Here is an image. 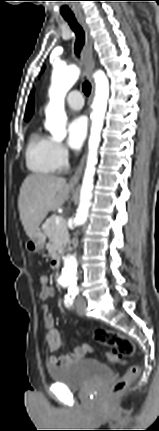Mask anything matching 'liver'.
Masks as SVG:
<instances>
[{"label":"liver","mask_w":159,"mask_h":431,"mask_svg":"<svg viewBox=\"0 0 159 431\" xmlns=\"http://www.w3.org/2000/svg\"><path fill=\"white\" fill-rule=\"evenodd\" d=\"M71 185L62 177L30 174L22 183L18 198L20 220L31 238L50 211L58 210L69 198Z\"/></svg>","instance_id":"6515ba94"}]
</instances>
